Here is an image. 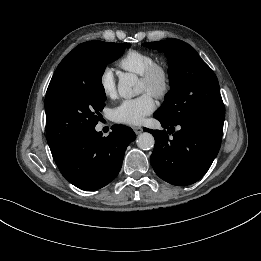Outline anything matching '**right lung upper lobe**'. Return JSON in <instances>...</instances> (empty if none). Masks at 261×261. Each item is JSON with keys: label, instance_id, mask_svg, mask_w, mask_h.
I'll use <instances>...</instances> for the list:
<instances>
[{"label": "right lung upper lobe", "instance_id": "right-lung-upper-lobe-1", "mask_svg": "<svg viewBox=\"0 0 261 261\" xmlns=\"http://www.w3.org/2000/svg\"><path fill=\"white\" fill-rule=\"evenodd\" d=\"M97 41H89L78 45L73 49L58 65L47 89V94H50L64 83L76 79L80 76L78 71V59L81 49L91 43Z\"/></svg>", "mask_w": 261, "mask_h": 261}]
</instances>
